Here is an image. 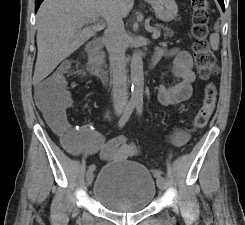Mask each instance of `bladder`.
I'll list each match as a JSON object with an SVG mask.
<instances>
[{"label": "bladder", "instance_id": "bladder-1", "mask_svg": "<svg viewBox=\"0 0 245 225\" xmlns=\"http://www.w3.org/2000/svg\"><path fill=\"white\" fill-rule=\"evenodd\" d=\"M156 192L152 172L128 159L110 162L100 168L92 196L108 211L128 214L148 208Z\"/></svg>", "mask_w": 245, "mask_h": 225}]
</instances>
